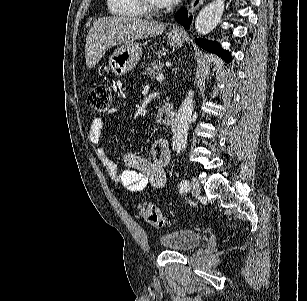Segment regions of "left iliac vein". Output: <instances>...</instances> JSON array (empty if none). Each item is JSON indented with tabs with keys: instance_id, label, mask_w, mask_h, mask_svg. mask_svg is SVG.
<instances>
[{
	"instance_id": "1",
	"label": "left iliac vein",
	"mask_w": 307,
	"mask_h": 301,
	"mask_svg": "<svg viewBox=\"0 0 307 301\" xmlns=\"http://www.w3.org/2000/svg\"><path fill=\"white\" fill-rule=\"evenodd\" d=\"M191 193L194 197H197L201 193V186L199 185L198 181L196 179L192 180V185H191Z\"/></svg>"
}]
</instances>
